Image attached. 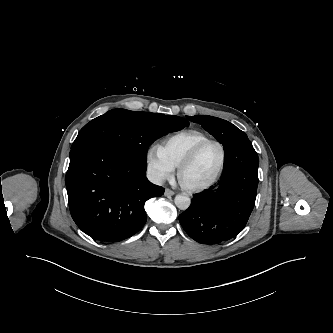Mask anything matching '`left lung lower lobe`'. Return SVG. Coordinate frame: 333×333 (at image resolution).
Masks as SVG:
<instances>
[{
  "mask_svg": "<svg viewBox=\"0 0 333 333\" xmlns=\"http://www.w3.org/2000/svg\"><path fill=\"white\" fill-rule=\"evenodd\" d=\"M259 158L248 138L225 150L218 185L195 195L179 215L186 233L202 244H217L239 234L255 205Z\"/></svg>",
  "mask_w": 333,
  "mask_h": 333,
  "instance_id": "0a47b994",
  "label": "left lung lower lobe"
}]
</instances>
